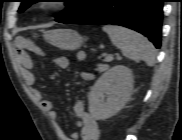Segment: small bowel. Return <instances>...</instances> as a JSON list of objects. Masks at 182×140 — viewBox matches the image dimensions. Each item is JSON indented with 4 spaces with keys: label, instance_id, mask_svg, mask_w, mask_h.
I'll use <instances>...</instances> for the list:
<instances>
[{
    "label": "small bowel",
    "instance_id": "1",
    "mask_svg": "<svg viewBox=\"0 0 182 140\" xmlns=\"http://www.w3.org/2000/svg\"><path fill=\"white\" fill-rule=\"evenodd\" d=\"M26 49L38 51V49L26 40L20 39L17 41L16 57L19 65L22 68L23 77L27 85L34 86L35 76L32 72L34 62L32 57L27 53ZM54 63L59 68H66L69 65V60L65 56H59L54 59ZM83 77L86 79L91 78V75L84 73ZM35 98L39 101L42 110L49 116L51 120H56L57 112L54 109L53 102L49 99L43 98L42 92L35 88ZM74 115L76 118V125L80 129V135L83 140H98L99 127L97 121L87 112L85 104L82 100H77L74 104ZM78 133L74 132L69 140H77Z\"/></svg>",
    "mask_w": 182,
    "mask_h": 140
}]
</instances>
